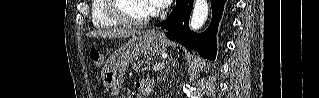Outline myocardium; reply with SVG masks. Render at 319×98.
I'll return each mask as SVG.
<instances>
[{
	"label": "myocardium",
	"instance_id": "1",
	"mask_svg": "<svg viewBox=\"0 0 319 98\" xmlns=\"http://www.w3.org/2000/svg\"><path fill=\"white\" fill-rule=\"evenodd\" d=\"M120 1V0H118ZM117 0H107V13L114 21L120 25L129 27H141L147 24L154 16L155 13L151 12L149 15L142 19H131L124 16L118 9Z\"/></svg>",
	"mask_w": 319,
	"mask_h": 98
}]
</instances>
